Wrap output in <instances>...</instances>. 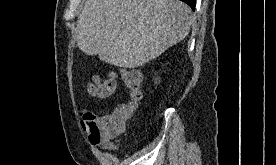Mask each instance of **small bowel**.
<instances>
[{"mask_svg": "<svg viewBox=\"0 0 276 165\" xmlns=\"http://www.w3.org/2000/svg\"><path fill=\"white\" fill-rule=\"evenodd\" d=\"M88 112H89L88 110L82 111V112H81V116L83 117V115H85V114L88 113ZM100 145L103 146V147H107V146L110 145V142L101 143Z\"/></svg>", "mask_w": 276, "mask_h": 165, "instance_id": "small-bowel-1", "label": "small bowel"}]
</instances>
